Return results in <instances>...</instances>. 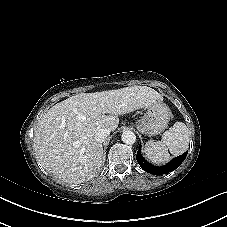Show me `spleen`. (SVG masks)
<instances>
[{
    "instance_id": "obj_1",
    "label": "spleen",
    "mask_w": 227,
    "mask_h": 227,
    "mask_svg": "<svg viewBox=\"0 0 227 227\" xmlns=\"http://www.w3.org/2000/svg\"><path fill=\"white\" fill-rule=\"evenodd\" d=\"M189 140L188 127L183 122H176L164 132L161 141H148L144 153L153 163H161L170 158V153L172 155L184 153L188 149Z\"/></svg>"
}]
</instances>
